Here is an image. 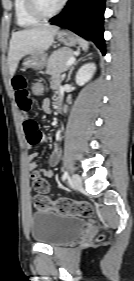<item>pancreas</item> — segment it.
<instances>
[{
    "label": "pancreas",
    "instance_id": "obj_1",
    "mask_svg": "<svg viewBox=\"0 0 134 281\" xmlns=\"http://www.w3.org/2000/svg\"><path fill=\"white\" fill-rule=\"evenodd\" d=\"M73 54L74 52L67 47L55 50L47 61L46 74L54 77L66 71V63L73 57Z\"/></svg>",
    "mask_w": 134,
    "mask_h": 281
}]
</instances>
